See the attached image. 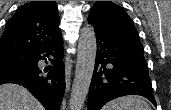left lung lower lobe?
Masks as SVG:
<instances>
[{
  "label": "left lung lower lobe",
  "instance_id": "obj_1",
  "mask_svg": "<svg viewBox=\"0 0 171 110\" xmlns=\"http://www.w3.org/2000/svg\"><path fill=\"white\" fill-rule=\"evenodd\" d=\"M93 27L97 55L87 110H100L108 101L129 94L144 96L156 106L143 51Z\"/></svg>",
  "mask_w": 171,
  "mask_h": 110
}]
</instances>
